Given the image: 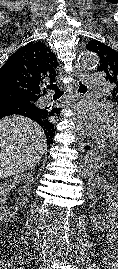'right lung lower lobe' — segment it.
Returning a JSON list of instances; mask_svg holds the SVG:
<instances>
[{
	"mask_svg": "<svg viewBox=\"0 0 118 269\" xmlns=\"http://www.w3.org/2000/svg\"><path fill=\"white\" fill-rule=\"evenodd\" d=\"M35 110L36 108L33 105L18 100L6 99L0 101V119L12 114H19L31 118Z\"/></svg>",
	"mask_w": 118,
	"mask_h": 269,
	"instance_id": "obj_1",
	"label": "right lung lower lobe"
}]
</instances>
